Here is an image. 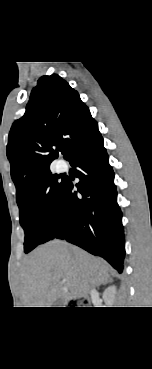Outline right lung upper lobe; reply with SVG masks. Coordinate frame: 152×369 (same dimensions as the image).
<instances>
[{
  "label": "right lung upper lobe",
  "instance_id": "obj_1",
  "mask_svg": "<svg viewBox=\"0 0 152 369\" xmlns=\"http://www.w3.org/2000/svg\"><path fill=\"white\" fill-rule=\"evenodd\" d=\"M97 129L77 91L57 74L41 77L25 114L13 123L8 138L7 157L17 198L50 172L59 146L68 160L76 146Z\"/></svg>",
  "mask_w": 152,
  "mask_h": 369
}]
</instances>
